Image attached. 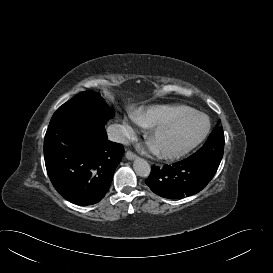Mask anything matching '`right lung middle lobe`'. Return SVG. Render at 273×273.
Masks as SVG:
<instances>
[{
	"label": "right lung middle lobe",
	"mask_w": 273,
	"mask_h": 273,
	"mask_svg": "<svg viewBox=\"0 0 273 273\" xmlns=\"http://www.w3.org/2000/svg\"><path fill=\"white\" fill-rule=\"evenodd\" d=\"M67 114L105 124L114 116L110 108L97 92L85 91L77 94L72 100L58 108L53 116Z\"/></svg>",
	"instance_id": "obj_1"
}]
</instances>
